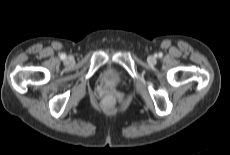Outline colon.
<instances>
[{"label":"colon","mask_w":230,"mask_h":155,"mask_svg":"<svg viewBox=\"0 0 230 155\" xmlns=\"http://www.w3.org/2000/svg\"><path fill=\"white\" fill-rule=\"evenodd\" d=\"M105 104H106V106H107L108 108H112V106H113V101H112L111 99L108 98V99L106 100Z\"/></svg>","instance_id":"5ec220e1"}]
</instances>
